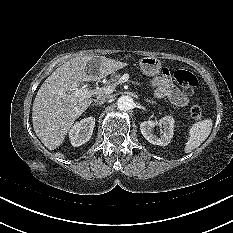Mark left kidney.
I'll return each mask as SVG.
<instances>
[{
    "instance_id": "left-kidney-1",
    "label": "left kidney",
    "mask_w": 233,
    "mask_h": 233,
    "mask_svg": "<svg viewBox=\"0 0 233 233\" xmlns=\"http://www.w3.org/2000/svg\"><path fill=\"white\" fill-rule=\"evenodd\" d=\"M174 118L171 116H165L160 119L159 122L157 121H144L140 124V130L144 138L154 145L159 146H166L170 143L172 137H173V131H174ZM156 125L163 126L164 133L161 137H157L153 134V128Z\"/></svg>"
}]
</instances>
